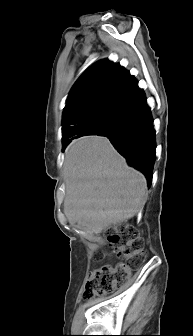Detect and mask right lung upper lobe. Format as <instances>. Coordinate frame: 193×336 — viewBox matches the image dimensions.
<instances>
[{"mask_svg":"<svg viewBox=\"0 0 193 336\" xmlns=\"http://www.w3.org/2000/svg\"><path fill=\"white\" fill-rule=\"evenodd\" d=\"M134 80L123 67L107 59L86 70L71 89L64 108L63 147L84 134L71 132L75 122L112 110Z\"/></svg>","mask_w":193,"mask_h":336,"instance_id":"right-lung-upper-lobe-1","label":"right lung upper lobe"}]
</instances>
